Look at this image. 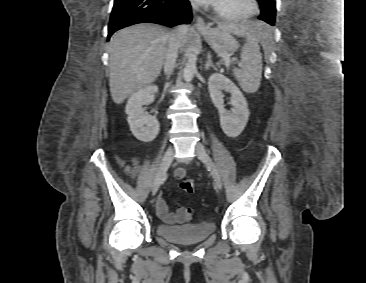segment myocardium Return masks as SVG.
<instances>
[{
    "instance_id": "obj_1",
    "label": "myocardium",
    "mask_w": 366,
    "mask_h": 283,
    "mask_svg": "<svg viewBox=\"0 0 366 283\" xmlns=\"http://www.w3.org/2000/svg\"><path fill=\"white\" fill-rule=\"evenodd\" d=\"M250 9L244 13H227L220 10L216 5H213L214 14L223 21H241L254 17L260 9L258 0H249Z\"/></svg>"
}]
</instances>
